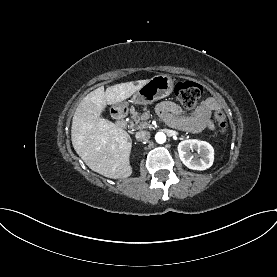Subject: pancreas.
Segmentation results:
<instances>
[{
	"instance_id": "1",
	"label": "pancreas",
	"mask_w": 277,
	"mask_h": 277,
	"mask_svg": "<svg viewBox=\"0 0 277 277\" xmlns=\"http://www.w3.org/2000/svg\"><path fill=\"white\" fill-rule=\"evenodd\" d=\"M150 115L149 113H143L140 114L138 112H135L132 110V121L131 126H136V129H144L148 128V124L145 122L147 119H149Z\"/></svg>"
}]
</instances>
